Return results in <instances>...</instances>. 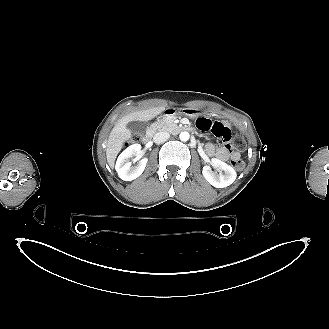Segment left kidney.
<instances>
[{
  "mask_svg": "<svg viewBox=\"0 0 329 329\" xmlns=\"http://www.w3.org/2000/svg\"><path fill=\"white\" fill-rule=\"evenodd\" d=\"M211 164L216 169L221 171L217 174L212 171L209 165L203 167L202 174L212 186L216 188H224L231 185L235 181L237 174L233 167L217 158H213L211 160Z\"/></svg>",
  "mask_w": 329,
  "mask_h": 329,
  "instance_id": "5707ae66",
  "label": "left kidney"
}]
</instances>
